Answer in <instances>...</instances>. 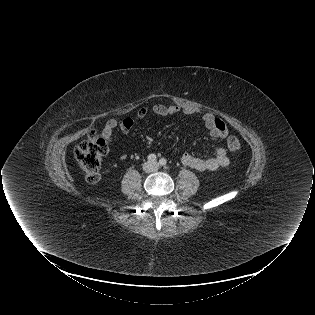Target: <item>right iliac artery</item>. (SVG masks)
<instances>
[{"instance_id": "1", "label": "right iliac artery", "mask_w": 315, "mask_h": 315, "mask_svg": "<svg viewBox=\"0 0 315 315\" xmlns=\"http://www.w3.org/2000/svg\"><path fill=\"white\" fill-rule=\"evenodd\" d=\"M147 158H148V160L151 161V162H154V161H156V159H157V157H156L155 154H150V155H148Z\"/></svg>"}]
</instances>
